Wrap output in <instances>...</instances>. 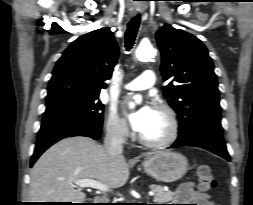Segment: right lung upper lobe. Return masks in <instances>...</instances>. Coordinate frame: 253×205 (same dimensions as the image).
Here are the masks:
<instances>
[{
    "label": "right lung upper lobe",
    "instance_id": "obj_1",
    "mask_svg": "<svg viewBox=\"0 0 253 205\" xmlns=\"http://www.w3.org/2000/svg\"><path fill=\"white\" fill-rule=\"evenodd\" d=\"M119 50L110 28L82 35L64 51L52 72L46 101L72 95H99L112 76Z\"/></svg>",
    "mask_w": 253,
    "mask_h": 205
}]
</instances>
